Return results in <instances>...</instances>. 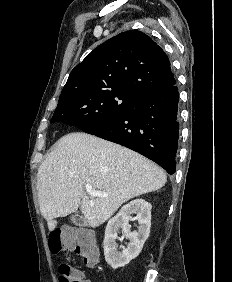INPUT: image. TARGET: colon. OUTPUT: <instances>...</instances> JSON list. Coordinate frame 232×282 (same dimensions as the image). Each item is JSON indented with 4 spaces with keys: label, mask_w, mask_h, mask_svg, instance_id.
Instances as JSON below:
<instances>
[{
    "label": "colon",
    "mask_w": 232,
    "mask_h": 282,
    "mask_svg": "<svg viewBox=\"0 0 232 282\" xmlns=\"http://www.w3.org/2000/svg\"><path fill=\"white\" fill-rule=\"evenodd\" d=\"M48 243L52 254H58L63 249H67L80 255L87 266H94L98 261V250L88 231L56 229L50 233ZM75 270L67 264H60L58 266L59 282H80Z\"/></svg>",
    "instance_id": "obj_1"
}]
</instances>
